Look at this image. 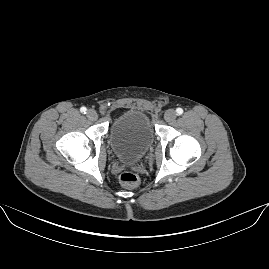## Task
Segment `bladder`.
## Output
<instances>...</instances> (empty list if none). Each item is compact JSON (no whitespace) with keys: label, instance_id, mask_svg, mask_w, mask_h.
<instances>
[{"label":"bladder","instance_id":"bladder-1","mask_svg":"<svg viewBox=\"0 0 269 269\" xmlns=\"http://www.w3.org/2000/svg\"><path fill=\"white\" fill-rule=\"evenodd\" d=\"M109 140L112 151L120 160L136 162L154 143L153 124L140 110L124 111L113 120Z\"/></svg>","mask_w":269,"mask_h":269}]
</instances>
